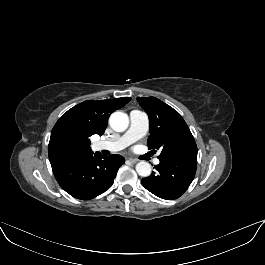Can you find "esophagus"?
I'll list each match as a JSON object with an SVG mask.
<instances>
[{
  "instance_id": "obj_1",
  "label": "esophagus",
  "mask_w": 265,
  "mask_h": 265,
  "mask_svg": "<svg viewBox=\"0 0 265 265\" xmlns=\"http://www.w3.org/2000/svg\"><path fill=\"white\" fill-rule=\"evenodd\" d=\"M129 161L132 162L133 164L137 163L138 160L137 159H134V158H129Z\"/></svg>"
}]
</instances>
